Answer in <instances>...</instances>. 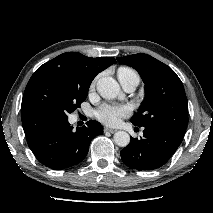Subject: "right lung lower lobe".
Listing matches in <instances>:
<instances>
[{
  "label": "right lung lower lobe",
  "instance_id": "1",
  "mask_svg": "<svg viewBox=\"0 0 213 213\" xmlns=\"http://www.w3.org/2000/svg\"><path fill=\"white\" fill-rule=\"evenodd\" d=\"M21 117L28 146L40 163L54 170L80 163L91 140L103 133L97 121L90 120L75 131L67 119L36 108H23Z\"/></svg>",
  "mask_w": 213,
  "mask_h": 213
}]
</instances>
